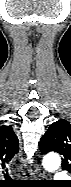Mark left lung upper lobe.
<instances>
[{
  "mask_svg": "<svg viewBox=\"0 0 71 187\" xmlns=\"http://www.w3.org/2000/svg\"><path fill=\"white\" fill-rule=\"evenodd\" d=\"M39 148L42 153L61 154L63 170L71 172V123L66 120L52 123L41 138Z\"/></svg>",
  "mask_w": 71,
  "mask_h": 187,
  "instance_id": "5c2ea615",
  "label": "left lung upper lobe"
}]
</instances>
